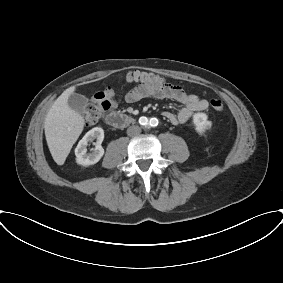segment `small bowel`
Here are the masks:
<instances>
[{
    "mask_svg": "<svg viewBox=\"0 0 283 283\" xmlns=\"http://www.w3.org/2000/svg\"><path fill=\"white\" fill-rule=\"evenodd\" d=\"M102 94L110 101V108H117L115 92L109 89ZM153 96L158 99H171L182 104V108L173 113L170 111L163 112V116L172 124L186 123L195 112L203 111L208 108V102L195 94L187 93L182 87L172 84H164L157 89H147L141 85H136L123 95V100L127 103H136L145 97Z\"/></svg>",
    "mask_w": 283,
    "mask_h": 283,
    "instance_id": "1",
    "label": "small bowel"
}]
</instances>
